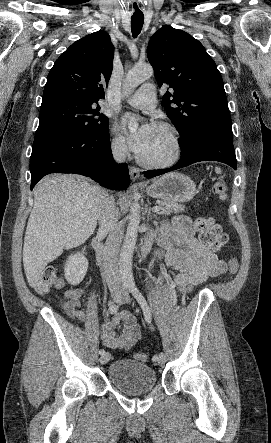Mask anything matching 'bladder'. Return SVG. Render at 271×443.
Returning a JSON list of instances; mask_svg holds the SVG:
<instances>
[{
  "instance_id": "bladder-1",
  "label": "bladder",
  "mask_w": 271,
  "mask_h": 443,
  "mask_svg": "<svg viewBox=\"0 0 271 443\" xmlns=\"http://www.w3.org/2000/svg\"><path fill=\"white\" fill-rule=\"evenodd\" d=\"M110 382L129 395L150 392L156 386V373L152 367L136 360H115L108 368Z\"/></svg>"
}]
</instances>
